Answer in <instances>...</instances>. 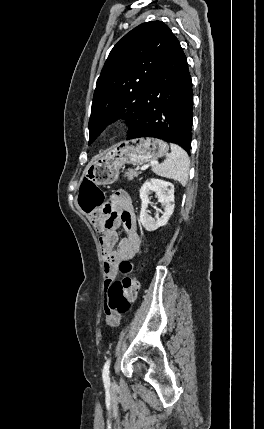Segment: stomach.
Returning <instances> with one entry per match:
<instances>
[{
    "label": "stomach",
    "mask_w": 264,
    "mask_h": 429,
    "mask_svg": "<svg viewBox=\"0 0 264 429\" xmlns=\"http://www.w3.org/2000/svg\"><path fill=\"white\" fill-rule=\"evenodd\" d=\"M168 152L166 142L156 138H136L114 145L92 160L85 176L97 185H110L119 177L124 164H140L161 158Z\"/></svg>",
    "instance_id": "1"
}]
</instances>
